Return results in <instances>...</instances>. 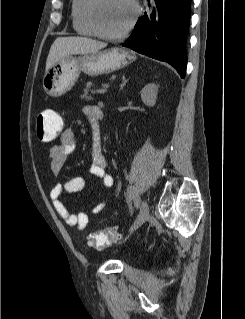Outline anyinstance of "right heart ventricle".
I'll list each match as a JSON object with an SVG mask.
<instances>
[{
    "label": "right heart ventricle",
    "instance_id": "1",
    "mask_svg": "<svg viewBox=\"0 0 245 319\" xmlns=\"http://www.w3.org/2000/svg\"><path fill=\"white\" fill-rule=\"evenodd\" d=\"M89 0L71 1V20L76 33L83 36H94L95 31L91 27L86 13V7Z\"/></svg>",
    "mask_w": 245,
    "mask_h": 319
}]
</instances>
